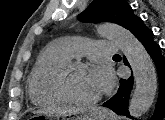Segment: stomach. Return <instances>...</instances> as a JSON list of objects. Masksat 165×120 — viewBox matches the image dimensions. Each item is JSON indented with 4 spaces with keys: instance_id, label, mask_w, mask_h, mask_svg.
Segmentation results:
<instances>
[{
    "instance_id": "obj_1",
    "label": "stomach",
    "mask_w": 165,
    "mask_h": 120,
    "mask_svg": "<svg viewBox=\"0 0 165 120\" xmlns=\"http://www.w3.org/2000/svg\"><path fill=\"white\" fill-rule=\"evenodd\" d=\"M61 114L54 113H36L30 119L41 120V119H57L59 120ZM62 120H117L115 115L110 111L101 108H87L80 112L75 117H67V115H62Z\"/></svg>"
}]
</instances>
